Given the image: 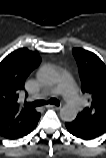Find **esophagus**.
<instances>
[{"instance_id": "obj_1", "label": "esophagus", "mask_w": 106, "mask_h": 158, "mask_svg": "<svg viewBox=\"0 0 106 158\" xmlns=\"http://www.w3.org/2000/svg\"><path fill=\"white\" fill-rule=\"evenodd\" d=\"M63 105H64V102H60L58 105L48 104L47 107L54 108V109H60Z\"/></svg>"}]
</instances>
